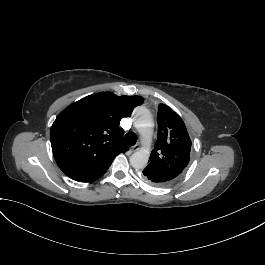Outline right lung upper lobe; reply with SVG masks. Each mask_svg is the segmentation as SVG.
Instances as JSON below:
<instances>
[{"instance_id":"1","label":"right lung upper lobe","mask_w":265,"mask_h":265,"mask_svg":"<svg viewBox=\"0 0 265 265\" xmlns=\"http://www.w3.org/2000/svg\"><path fill=\"white\" fill-rule=\"evenodd\" d=\"M140 96L100 92L64 109L51 127V146L59 168L78 182L101 177L114 158L128 147L122 144L121 118L141 105Z\"/></svg>"}]
</instances>
